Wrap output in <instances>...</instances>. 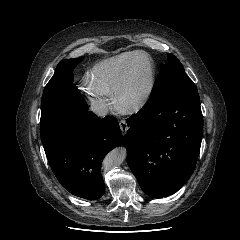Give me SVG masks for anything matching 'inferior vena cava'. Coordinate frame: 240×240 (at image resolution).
Returning a JSON list of instances; mask_svg holds the SVG:
<instances>
[{
	"mask_svg": "<svg viewBox=\"0 0 240 240\" xmlns=\"http://www.w3.org/2000/svg\"><path fill=\"white\" fill-rule=\"evenodd\" d=\"M90 109L99 117H105L109 111L107 103L102 99H93Z\"/></svg>",
	"mask_w": 240,
	"mask_h": 240,
	"instance_id": "inferior-vena-cava-1",
	"label": "inferior vena cava"
}]
</instances>
